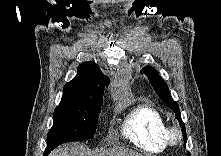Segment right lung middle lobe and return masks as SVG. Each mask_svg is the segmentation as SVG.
<instances>
[{
    "label": "right lung middle lobe",
    "instance_id": "dd1d6c3e",
    "mask_svg": "<svg viewBox=\"0 0 221 156\" xmlns=\"http://www.w3.org/2000/svg\"><path fill=\"white\" fill-rule=\"evenodd\" d=\"M103 100L59 104L54 111L53 126L47 135L44 156L60 144L94 137Z\"/></svg>",
    "mask_w": 221,
    "mask_h": 156
}]
</instances>
